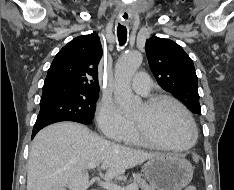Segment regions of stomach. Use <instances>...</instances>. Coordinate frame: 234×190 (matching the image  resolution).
Here are the masks:
<instances>
[{
    "label": "stomach",
    "instance_id": "1",
    "mask_svg": "<svg viewBox=\"0 0 234 190\" xmlns=\"http://www.w3.org/2000/svg\"><path fill=\"white\" fill-rule=\"evenodd\" d=\"M144 175L155 190H182L192 180L193 167L179 155L161 154L149 159Z\"/></svg>",
    "mask_w": 234,
    "mask_h": 190
}]
</instances>
